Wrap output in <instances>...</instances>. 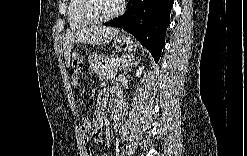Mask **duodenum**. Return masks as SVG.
<instances>
[{"instance_id": "duodenum-1", "label": "duodenum", "mask_w": 247, "mask_h": 156, "mask_svg": "<svg viewBox=\"0 0 247 156\" xmlns=\"http://www.w3.org/2000/svg\"><path fill=\"white\" fill-rule=\"evenodd\" d=\"M112 117L114 120H120L122 117V108L117 106L114 108L113 112H112Z\"/></svg>"}]
</instances>
